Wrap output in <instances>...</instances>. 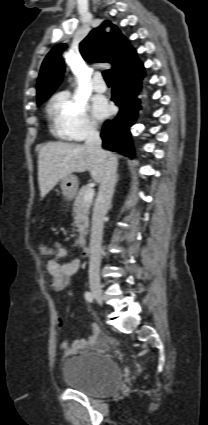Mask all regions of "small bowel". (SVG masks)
<instances>
[{"label":"small bowel","instance_id":"small-bowel-1","mask_svg":"<svg viewBox=\"0 0 208 425\" xmlns=\"http://www.w3.org/2000/svg\"><path fill=\"white\" fill-rule=\"evenodd\" d=\"M68 254L67 250L60 244H56L54 257L47 262L46 269L49 274L50 287L53 291L59 292L71 286L74 277L79 269V261L72 260L70 262H62L61 260ZM58 325H62L63 319L57 317ZM99 344V328L96 324H92L88 338L76 339L72 342L62 340L59 347L65 355H75L87 349L96 347Z\"/></svg>","mask_w":208,"mask_h":425}]
</instances>
